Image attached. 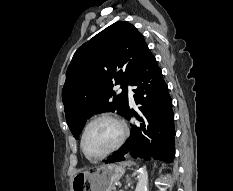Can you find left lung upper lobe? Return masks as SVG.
<instances>
[{
  "label": "left lung upper lobe",
  "mask_w": 233,
  "mask_h": 191,
  "mask_svg": "<svg viewBox=\"0 0 233 191\" xmlns=\"http://www.w3.org/2000/svg\"><path fill=\"white\" fill-rule=\"evenodd\" d=\"M140 32L126 21H117L74 54L62 91L66 121L76 137L93 113L128 108L127 85L150 54ZM113 83L122 92L116 95Z\"/></svg>",
  "instance_id": "obj_1"
}]
</instances>
